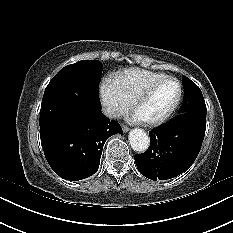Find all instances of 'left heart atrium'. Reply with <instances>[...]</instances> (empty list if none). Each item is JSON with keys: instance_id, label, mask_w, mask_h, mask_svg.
<instances>
[{"instance_id": "39dd6f15", "label": "left heart atrium", "mask_w": 233, "mask_h": 233, "mask_svg": "<svg viewBox=\"0 0 233 233\" xmlns=\"http://www.w3.org/2000/svg\"><path fill=\"white\" fill-rule=\"evenodd\" d=\"M129 120L131 122H141L143 119L141 118V116L138 113H133L130 117Z\"/></svg>"}]
</instances>
